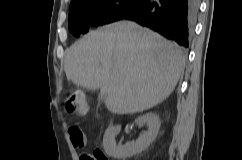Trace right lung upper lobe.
Wrapping results in <instances>:
<instances>
[{
  "mask_svg": "<svg viewBox=\"0 0 242 160\" xmlns=\"http://www.w3.org/2000/svg\"><path fill=\"white\" fill-rule=\"evenodd\" d=\"M81 1H83V0H71L70 6L74 5V4H77V3L81 2Z\"/></svg>",
  "mask_w": 242,
  "mask_h": 160,
  "instance_id": "cb5924a9",
  "label": "right lung upper lobe"
}]
</instances>
